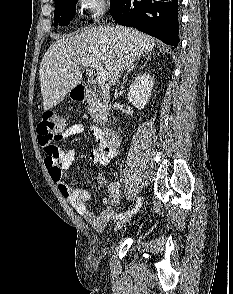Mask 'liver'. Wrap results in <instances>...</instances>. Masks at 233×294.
<instances>
[{
    "label": "liver",
    "instance_id": "1",
    "mask_svg": "<svg viewBox=\"0 0 233 294\" xmlns=\"http://www.w3.org/2000/svg\"><path fill=\"white\" fill-rule=\"evenodd\" d=\"M155 40L136 29L100 26L84 29L79 35L58 38L45 53L39 69L44 110H50L82 80L80 66L88 58L100 61L107 69L110 84L117 80L116 70L133 65L152 51Z\"/></svg>",
    "mask_w": 233,
    "mask_h": 294
}]
</instances>
